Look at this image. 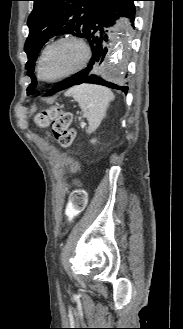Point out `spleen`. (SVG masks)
<instances>
[{"mask_svg": "<svg viewBox=\"0 0 183 329\" xmlns=\"http://www.w3.org/2000/svg\"><path fill=\"white\" fill-rule=\"evenodd\" d=\"M65 95L72 96L86 116L89 123L88 134L99 127L110 102L114 100L109 89L93 84L75 86L67 90Z\"/></svg>", "mask_w": 183, "mask_h": 329, "instance_id": "spleen-1", "label": "spleen"}]
</instances>
